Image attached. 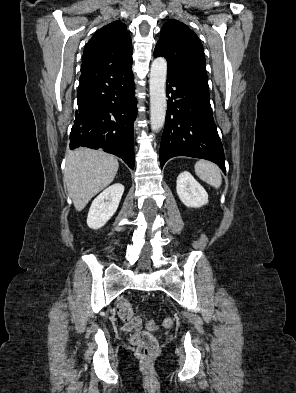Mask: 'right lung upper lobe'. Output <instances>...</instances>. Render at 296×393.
Returning <instances> with one entry per match:
<instances>
[{
    "label": "right lung upper lobe",
    "instance_id": "right-lung-upper-lobe-1",
    "mask_svg": "<svg viewBox=\"0 0 296 393\" xmlns=\"http://www.w3.org/2000/svg\"><path fill=\"white\" fill-rule=\"evenodd\" d=\"M132 41L126 25L114 21L97 30L85 45L82 63L119 64L132 60Z\"/></svg>",
    "mask_w": 296,
    "mask_h": 393
}]
</instances>
